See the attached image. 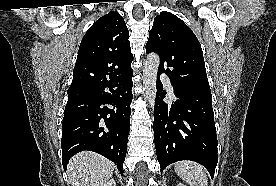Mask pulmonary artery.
<instances>
[{"label": "pulmonary artery", "mask_w": 276, "mask_h": 186, "mask_svg": "<svg viewBox=\"0 0 276 186\" xmlns=\"http://www.w3.org/2000/svg\"><path fill=\"white\" fill-rule=\"evenodd\" d=\"M162 80L168 92L173 95V87L171 85L170 79L167 76L163 75Z\"/></svg>", "instance_id": "1"}]
</instances>
